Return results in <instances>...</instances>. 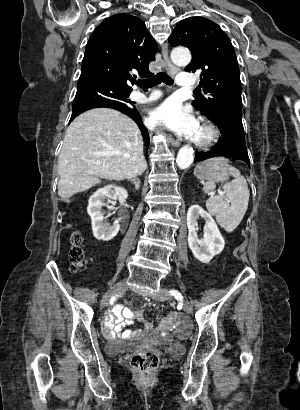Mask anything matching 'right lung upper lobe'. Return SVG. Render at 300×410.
Masks as SVG:
<instances>
[{"label":"right lung upper lobe","mask_w":300,"mask_h":410,"mask_svg":"<svg viewBox=\"0 0 300 410\" xmlns=\"http://www.w3.org/2000/svg\"><path fill=\"white\" fill-rule=\"evenodd\" d=\"M156 51L157 43L142 20L128 14L113 15L90 36L78 82H100L132 91L130 72L151 76L148 65L155 60Z\"/></svg>","instance_id":"right-lung-upper-lobe-1"}]
</instances>
